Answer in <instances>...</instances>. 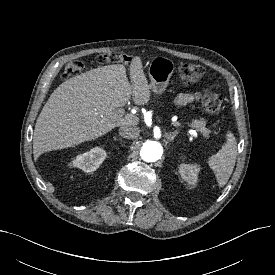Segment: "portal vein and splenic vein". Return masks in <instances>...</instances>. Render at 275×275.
<instances>
[{
    "label": "portal vein and splenic vein",
    "mask_w": 275,
    "mask_h": 275,
    "mask_svg": "<svg viewBox=\"0 0 275 275\" xmlns=\"http://www.w3.org/2000/svg\"><path fill=\"white\" fill-rule=\"evenodd\" d=\"M121 113H123V111H121ZM179 125H180L179 123L176 124V126H179ZM189 133L194 135L196 132L194 130H189Z\"/></svg>",
    "instance_id": "1"
}]
</instances>
